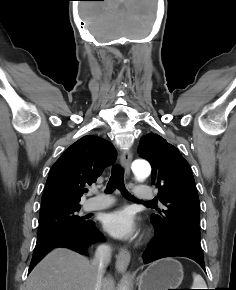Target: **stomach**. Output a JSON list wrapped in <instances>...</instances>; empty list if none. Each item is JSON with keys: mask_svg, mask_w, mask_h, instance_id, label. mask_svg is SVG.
<instances>
[{"mask_svg": "<svg viewBox=\"0 0 236 290\" xmlns=\"http://www.w3.org/2000/svg\"><path fill=\"white\" fill-rule=\"evenodd\" d=\"M184 272L181 263L173 258H164L151 263L138 277L139 290L178 289Z\"/></svg>", "mask_w": 236, "mask_h": 290, "instance_id": "obj_1", "label": "stomach"}]
</instances>
